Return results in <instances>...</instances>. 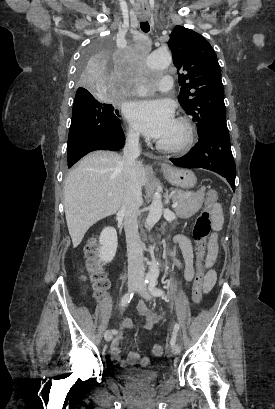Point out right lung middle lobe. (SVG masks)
<instances>
[{
    "instance_id": "dd1d6c3e",
    "label": "right lung middle lobe",
    "mask_w": 275,
    "mask_h": 409,
    "mask_svg": "<svg viewBox=\"0 0 275 409\" xmlns=\"http://www.w3.org/2000/svg\"><path fill=\"white\" fill-rule=\"evenodd\" d=\"M116 36H95L79 59L72 122L68 137V164L62 166L61 177L67 178L73 164L94 150H119L124 146L125 136L119 119L122 96H107L103 91H122L113 70L114 59H118ZM147 167L146 161L140 162Z\"/></svg>"
}]
</instances>
